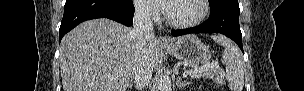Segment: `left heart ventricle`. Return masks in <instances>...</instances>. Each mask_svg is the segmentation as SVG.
Instances as JSON below:
<instances>
[{"label":"left heart ventricle","instance_id":"b2bd125f","mask_svg":"<svg viewBox=\"0 0 304 91\" xmlns=\"http://www.w3.org/2000/svg\"><path fill=\"white\" fill-rule=\"evenodd\" d=\"M201 6L198 0H175L167 4V14L175 21H190L199 16Z\"/></svg>","mask_w":304,"mask_h":91}]
</instances>
